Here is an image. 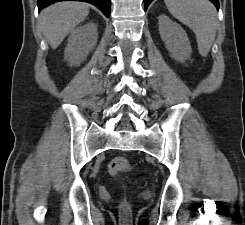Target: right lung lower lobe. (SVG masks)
<instances>
[{"mask_svg":"<svg viewBox=\"0 0 245 225\" xmlns=\"http://www.w3.org/2000/svg\"><path fill=\"white\" fill-rule=\"evenodd\" d=\"M58 1H64V0H38V10H42L43 8L47 7L48 5L58 2ZM77 1H84L91 3L95 6H97L106 17L110 16V0H77Z\"/></svg>","mask_w":245,"mask_h":225,"instance_id":"1","label":"right lung lower lobe"}]
</instances>
